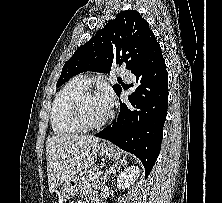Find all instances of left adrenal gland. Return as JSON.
I'll return each mask as SVG.
<instances>
[{"mask_svg": "<svg viewBox=\"0 0 222 203\" xmlns=\"http://www.w3.org/2000/svg\"><path fill=\"white\" fill-rule=\"evenodd\" d=\"M126 163H127V160L121 159V160L115 162L112 166H110V168L104 174V182L103 183L108 182L109 176L112 173H115L116 170H119L121 168V166L125 165Z\"/></svg>", "mask_w": 222, "mask_h": 203, "instance_id": "obj_1", "label": "left adrenal gland"}]
</instances>
